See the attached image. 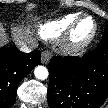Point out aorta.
<instances>
[{
	"label": "aorta",
	"instance_id": "obj_1",
	"mask_svg": "<svg viewBox=\"0 0 108 108\" xmlns=\"http://www.w3.org/2000/svg\"><path fill=\"white\" fill-rule=\"evenodd\" d=\"M34 75L39 80H45L48 77V70L44 66H37L34 70Z\"/></svg>",
	"mask_w": 108,
	"mask_h": 108
}]
</instances>
